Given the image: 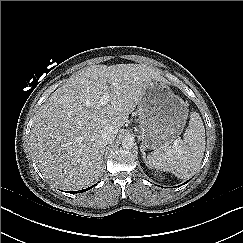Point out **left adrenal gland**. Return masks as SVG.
Here are the masks:
<instances>
[{
	"label": "left adrenal gland",
	"mask_w": 243,
	"mask_h": 243,
	"mask_svg": "<svg viewBox=\"0 0 243 243\" xmlns=\"http://www.w3.org/2000/svg\"><path fill=\"white\" fill-rule=\"evenodd\" d=\"M140 151H141V153L143 155V159L146 161V153H145L144 148L143 147H140Z\"/></svg>",
	"instance_id": "1"
}]
</instances>
